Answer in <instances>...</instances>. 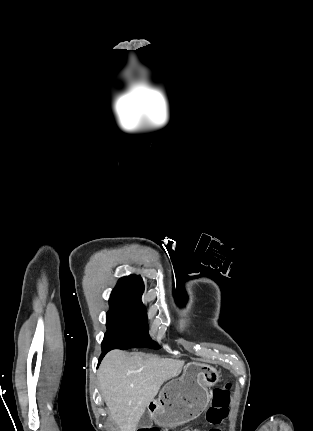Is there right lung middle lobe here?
Here are the masks:
<instances>
[{
    "instance_id": "1",
    "label": "right lung middle lobe",
    "mask_w": 313,
    "mask_h": 431,
    "mask_svg": "<svg viewBox=\"0 0 313 431\" xmlns=\"http://www.w3.org/2000/svg\"><path fill=\"white\" fill-rule=\"evenodd\" d=\"M109 303L102 350L160 348L148 334L147 313L142 303L115 298H110Z\"/></svg>"
}]
</instances>
